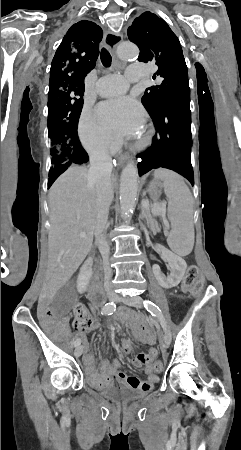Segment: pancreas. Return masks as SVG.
<instances>
[{"instance_id": "obj_1", "label": "pancreas", "mask_w": 241, "mask_h": 450, "mask_svg": "<svg viewBox=\"0 0 241 450\" xmlns=\"http://www.w3.org/2000/svg\"><path fill=\"white\" fill-rule=\"evenodd\" d=\"M145 218H147V220H149L150 224H154V218H153L152 214H150V212L145 214ZM154 234H155V232H154Z\"/></svg>"}]
</instances>
